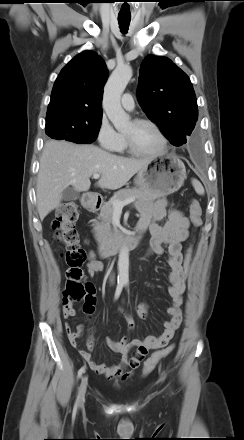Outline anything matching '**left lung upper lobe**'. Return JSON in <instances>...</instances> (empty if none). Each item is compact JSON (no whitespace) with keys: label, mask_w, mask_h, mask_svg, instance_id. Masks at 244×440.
Masks as SVG:
<instances>
[{"label":"left lung upper lobe","mask_w":244,"mask_h":440,"mask_svg":"<svg viewBox=\"0 0 244 440\" xmlns=\"http://www.w3.org/2000/svg\"><path fill=\"white\" fill-rule=\"evenodd\" d=\"M140 106L174 146L187 142L198 118L189 77L166 57L147 56L140 67L137 88Z\"/></svg>","instance_id":"left-lung-upper-lobe-1"}]
</instances>
